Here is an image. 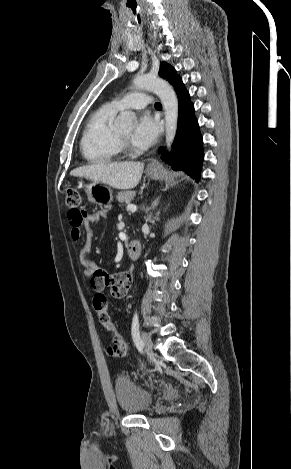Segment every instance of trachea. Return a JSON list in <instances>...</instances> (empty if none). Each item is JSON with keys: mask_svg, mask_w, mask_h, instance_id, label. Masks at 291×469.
Returning a JSON list of instances; mask_svg holds the SVG:
<instances>
[{"mask_svg": "<svg viewBox=\"0 0 291 469\" xmlns=\"http://www.w3.org/2000/svg\"><path fill=\"white\" fill-rule=\"evenodd\" d=\"M155 107H162V104L159 103V102H156V103H155Z\"/></svg>", "mask_w": 291, "mask_h": 469, "instance_id": "3493384b", "label": "trachea"}]
</instances>
